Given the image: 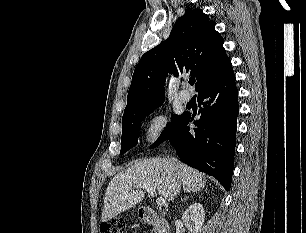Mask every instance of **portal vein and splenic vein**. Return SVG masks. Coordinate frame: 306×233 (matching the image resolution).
Masks as SVG:
<instances>
[{"label": "portal vein and splenic vein", "instance_id": "portal-vein-and-splenic-vein-1", "mask_svg": "<svg viewBox=\"0 0 306 233\" xmlns=\"http://www.w3.org/2000/svg\"><path fill=\"white\" fill-rule=\"evenodd\" d=\"M136 188L145 189L152 197L157 196V193H156L155 189L148 184H138V185H136ZM156 203H157L158 206H164L166 204V200L162 197H158L156 199Z\"/></svg>", "mask_w": 306, "mask_h": 233}]
</instances>
